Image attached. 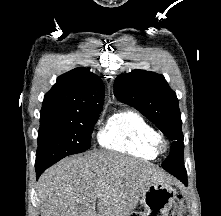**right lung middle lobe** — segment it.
Instances as JSON below:
<instances>
[{
	"label": "right lung middle lobe",
	"mask_w": 221,
	"mask_h": 216,
	"mask_svg": "<svg viewBox=\"0 0 221 216\" xmlns=\"http://www.w3.org/2000/svg\"><path fill=\"white\" fill-rule=\"evenodd\" d=\"M100 111L65 121L40 124L36 166H51L62 158L91 147V133Z\"/></svg>",
	"instance_id": "dd1d6c3e"
}]
</instances>
